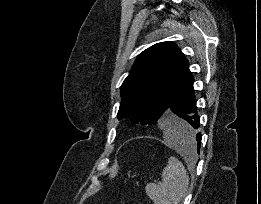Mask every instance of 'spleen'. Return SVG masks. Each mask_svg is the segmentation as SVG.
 <instances>
[{
	"mask_svg": "<svg viewBox=\"0 0 261 204\" xmlns=\"http://www.w3.org/2000/svg\"><path fill=\"white\" fill-rule=\"evenodd\" d=\"M175 119L179 120L177 117ZM165 143L177 151L187 154L196 151L195 139L187 142L177 141L167 131H164ZM189 185V177L183 164L175 157L168 159L162 172V183H149L145 190L154 204H179L185 196Z\"/></svg>",
	"mask_w": 261,
	"mask_h": 204,
	"instance_id": "3e777b00",
	"label": "spleen"
}]
</instances>
